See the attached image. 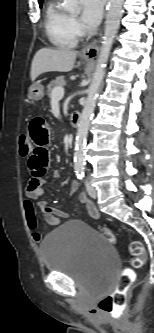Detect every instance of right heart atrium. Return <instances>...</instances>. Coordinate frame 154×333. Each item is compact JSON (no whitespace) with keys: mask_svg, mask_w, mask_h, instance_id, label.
Segmentation results:
<instances>
[{"mask_svg":"<svg viewBox=\"0 0 154 333\" xmlns=\"http://www.w3.org/2000/svg\"><path fill=\"white\" fill-rule=\"evenodd\" d=\"M72 27L77 35L82 33V26L76 18H72Z\"/></svg>","mask_w":154,"mask_h":333,"instance_id":"right-heart-atrium-1","label":"right heart atrium"}]
</instances>
